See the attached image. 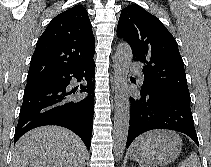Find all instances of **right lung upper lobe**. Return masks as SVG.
Masks as SVG:
<instances>
[{"label":"right lung upper lobe","mask_w":211,"mask_h":167,"mask_svg":"<svg viewBox=\"0 0 211 167\" xmlns=\"http://www.w3.org/2000/svg\"><path fill=\"white\" fill-rule=\"evenodd\" d=\"M94 53L88 13L76 5L57 15L37 41L27 81L84 66L93 60Z\"/></svg>","instance_id":"1"}]
</instances>
